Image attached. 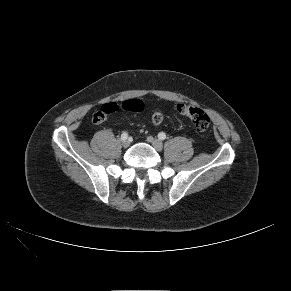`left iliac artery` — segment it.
<instances>
[{
	"mask_svg": "<svg viewBox=\"0 0 291 291\" xmlns=\"http://www.w3.org/2000/svg\"><path fill=\"white\" fill-rule=\"evenodd\" d=\"M158 138H159L160 140H165V138H166V134H165L164 132H160V133L158 134Z\"/></svg>",
	"mask_w": 291,
	"mask_h": 291,
	"instance_id": "44dca946",
	"label": "left iliac artery"
}]
</instances>
